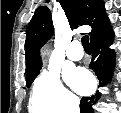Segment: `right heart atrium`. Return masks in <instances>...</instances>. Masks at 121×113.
I'll use <instances>...</instances> for the list:
<instances>
[{"label":"right heart atrium","mask_w":121,"mask_h":113,"mask_svg":"<svg viewBox=\"0 0 121 113\" xmlns=\"http://www.w3.org/2000/svg\"><path fill=\"white\" fill-rule=\"evenodd\" d=\"M33 97L48 113H68L78 107L77 97L62 83L56 70H43L36 79Z\"/></svg>","instance_id":"d8ad5b80"}]
</instances>
